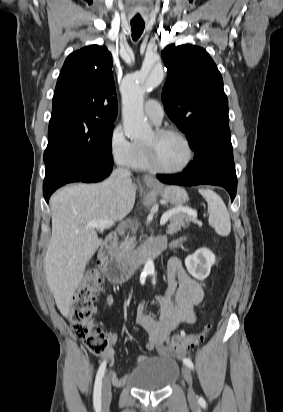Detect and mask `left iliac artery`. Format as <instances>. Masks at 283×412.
I'll return each instance as SVG.
<instances>
[{
  "mask_svg": "<svg viewBox=\"0 0 283 412\" xmlns=\"http://www.w3.org/2000/svg\"><path fill=\"white\" fill-rule=\"evenodd\" d=\"M153 282L155 283L154 280H153ZM183 363H184L187 367H189L190 369H193V368H194V365H193L192 361H191L189 358H184V359H183ZM199 401H203V399L200 398Z\"/></svg>",
  "mask_w": 283,
  "mask_h": 412,
  "instance_id": "1",
  "label": "left iliac artery"
}]
</instances>
